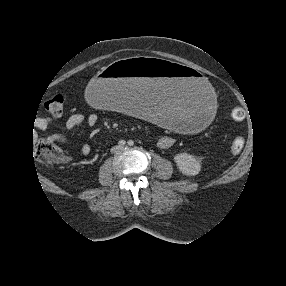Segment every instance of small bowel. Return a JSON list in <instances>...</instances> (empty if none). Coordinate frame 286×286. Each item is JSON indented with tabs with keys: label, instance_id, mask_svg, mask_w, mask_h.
I'll return each instance as SVG.
<instances>
[{
	"label": "small bowel",
	"instance_id": "1",
	"mask_svg": "<svg viewBox=\"0 0 286 286\" xmlns=\"http://www.w3.org/2000/svg\"><path fill=\"white\" fill-rule=\"evenodd\" d=\"M96 121H97V118L95 115L83 116V115H79V114H74V115H71L66 120V127L67 128H73V127L78 126V125L83 124V123L93 125L96 123ZM50 123H51V119L43 118L38 123V129L44 130L49 126ZM53 139L58 141V142H61V143L70 142V138L65 136V135H59V134L54 135ZM174 142H175V138L171 135H167V136L162 137L159 140L158 146L160 148L167 149V148H170L174 144ZM80 147H81V152L84 155H88L91 152V147L86 142H81Z\"/></svg>",
	"mask_w": 286,
	"mask_h": 286
}]
</instances>
